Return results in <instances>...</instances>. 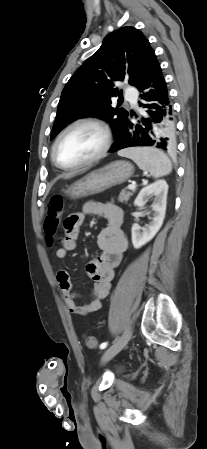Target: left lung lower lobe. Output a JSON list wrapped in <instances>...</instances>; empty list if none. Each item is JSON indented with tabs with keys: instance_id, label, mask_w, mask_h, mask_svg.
<instances>
[{
	"instance_id": "left-lung-lower-lobe-1",
	"label": "left lung lower lobe",
	"mask_w": 207,
	"mask_h": 449,
	"mask_svg": "<svg viewBox=\"0 0 207 449\" xmlns=\"http://www.w3.org/2000/svg\"><path fill=\"white\" fill-rule=\"evenodd\" d=\"M147 117L142 124L127 118L110 152L133 146H154L165 151L176 147L174 110L160 64L156 61L139 87ZM140 122V121H139Z\"/></svg>"
}]
</instances>
